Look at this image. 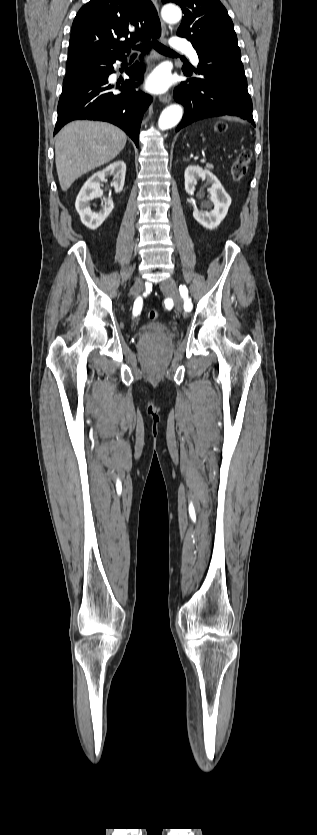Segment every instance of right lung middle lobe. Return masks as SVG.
Listing matches in <instances>:
<instances>
[{
    "instance_id": "right-lung-middle-lobe-1",
    "label": "right lung middle lobe",
    "mask_w": 317,
    "mask_h": 835,
    "mask_svg": "<svg viewBox=\"0 0 317 835\" xmlns=\"http://www.w3.org/2000/svg\"><path fill=\"white\" fill-rule=\"evenodd\" d=\"M96 67L97 66L88 69H83L78 72L66 75L63 81V85L94 79L97 76V72L95 71Z\"/></svg>"
}]
</instances>
